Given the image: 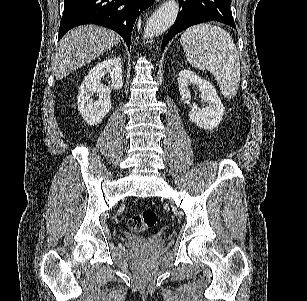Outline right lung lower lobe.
<instances>
[{"mask_svg":"<svg viewBox=\"0 0 307 301\" xmlns=\"http://www.w3.org/2000/svg\"><path fill=\"white\" fill-rule=\"evenodd\" d=\"M154 0H64L59 39L82 24H98L119 33L130 47L131 31L137 16Z\"/></svg>","mask_w":307,"mask_h":301,"instance_id":"right-lung-lower-lobe-1","label":"right lung lower lobe"}]
</instances>
